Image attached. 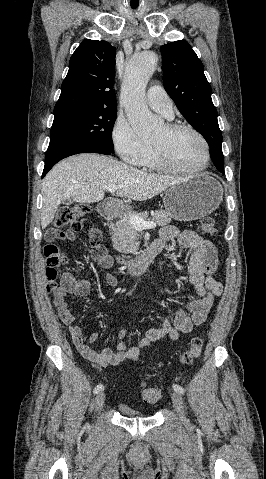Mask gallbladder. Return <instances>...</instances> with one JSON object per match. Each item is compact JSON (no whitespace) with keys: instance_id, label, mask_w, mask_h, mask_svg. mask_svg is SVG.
Here are the masks:
<instances>
[{"instance_id":"obj_1","label":"gallbladder","mask_w":266,"mask_h":479,"mask_svg":"<svg viewBox=\"0 0 266 479\" xmlns=\"http://www.w3.org/2000/svg\"><path fill=\"white\" fill-rule=\"evenodd\" d=\"M62 203L66 204V205H69V204L72 203V200L71 199H65V200H62Z\"/></svg>"}]
</instances>
